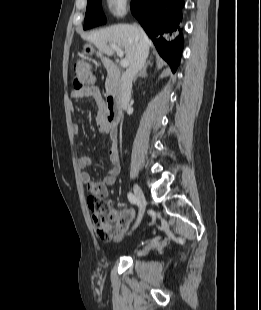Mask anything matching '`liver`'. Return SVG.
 I'll return each instance as SVG.
<instances>
[{
	"label": "liver",
	"instance_id": "1",
	"mask_svg": "<svg viewBox=\"0 0 261 310\" xmlns=\"http://www.w3.org/2000/svg\"><path fill=\"white\" fill-rule=\"evenodd\" d=\"M83 38L94 44L99 50V53L107 56H112L114 54V50L111 49L107 43H113L124 48L126 55L125 59L131 64L134 59L137 44L141 38V33L139 28L134 25L119 24L92 32L83 36ZM146 42L148 54L149 48L152 47V43L147 36Z\"/></svg>",
	"mask_w": 261,
	"mask_h": 310
}]
</instances>
